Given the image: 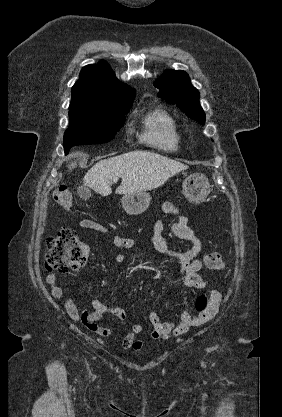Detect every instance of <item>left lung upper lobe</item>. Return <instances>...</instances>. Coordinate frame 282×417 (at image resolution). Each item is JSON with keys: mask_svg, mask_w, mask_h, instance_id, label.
<instances>
[{"mask_svg": "<svg viewBox=\"0 0 282 417\" xmlns=\"http://www.w3.org/2000/svg\"><path fill=\"white\" fill-rule=\"evenodd\" d=\"M154 86L159 89V97L176 104L188 117L204 124L205 113L199 104V92L191 85L186 72L167 70Z\"/></svg>", "mask_w": 282, "mask_h": 417, "instance_id": "obj_1", "label": "left lung upper lobe"}]
</instances>
